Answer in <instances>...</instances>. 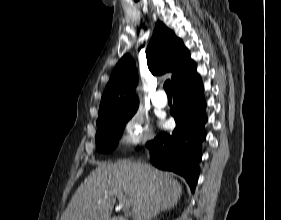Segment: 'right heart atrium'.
<instances>
[{
  "instance_id": "d8ad5b80",
  "label": "right heart atrium",
  "mask_w": 281,
  "mask_h": 220,
  "mask_svg": "<svg viewBox=\"0 0 281 220\" xmlns=\"http://www.w3.org/2000/svg\"><path fill=\"white\" fill-rule=\"evenodd\" d=\"M154 133L150 121L141 110L133 112L123 125L122 141L124 144L137 147L152 142Z\"/></svg>"
}]
</instances>
